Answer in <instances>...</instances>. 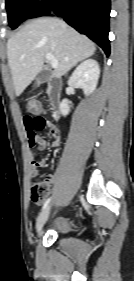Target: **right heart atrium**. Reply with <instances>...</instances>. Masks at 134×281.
<instances>
[{"label":"right heart atrium","instance_id":"d8ad5b80","mask_svg":"<svg viewBox=\"0 0 134 281\" xmlns=\"http://www.w3.org/2000/svg\"><path fill=\"white\" fill-rule=\"evenodd\" d=\"M32 1H34V2H41V1H43V0H32Z\"/></svg>","mask_w":134,"mask_h":281}]
</instances>
